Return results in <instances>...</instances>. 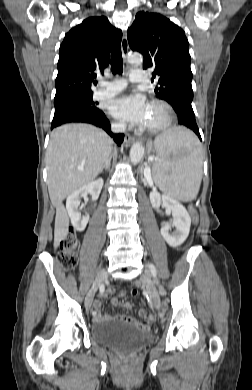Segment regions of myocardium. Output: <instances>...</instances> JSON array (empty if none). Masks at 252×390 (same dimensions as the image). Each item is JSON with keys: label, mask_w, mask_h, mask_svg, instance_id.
Segmentation results:
<instances>
[{"label": "myocardium", "mask_w": 252, "mask_h": 390, "mask_svg": "<svg viewBox=\"0 0 252 390\" xmlns=\"http://www.w3.org/2000/svg\"><path fill=\"white\" fill-rule=\"evenodd\" d=\"M150 105L160 107L165 113V119L158 125L144 127V131L149 133H158L169 128L174 119V110L172 106L163 100H157V99L151 101Z\"/></svg>", "instance_id": "obj_1"}]
</instances>
